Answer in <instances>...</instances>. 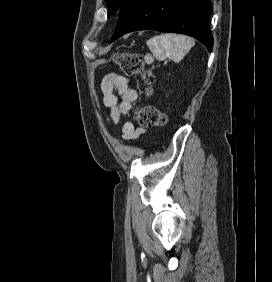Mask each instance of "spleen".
I'll return each instance as SVG.
<instances>
[{
	"mask_svg": "<svg viewBox=\"0 0 272 282\" xmlns=\"http://www.w3.org/2000/svg\"><path fill=\"white\" fill-rule=\"evenodd\" d=\"M194 44L192 38L175 34H161L147 41V46L156 59L169 58L175 62L182 60Z\"/></svg>",
	"mask_w": 272,
	"mask_h": 282,
	"instance_id": "spleen-1",
	"label": "spleen"
}]
</instances>
